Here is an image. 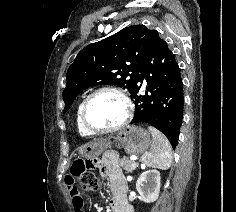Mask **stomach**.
Listing matches in <instances>:
<instances>
[{
	"instance_id": "0dacf381",
	"label": "stomach",
	"mask_w": 236,
	"mask_h": 212,
	"mask_svg": "<svg viewBox=\"0 0 236 212\" xmlns=\"http://www.w3.org/2000/svg\"><path fill=\"white\" fill-rule=\"evenodd\" d=\"M114 139L118 147L137 155L147 152L152 142L149 133L138 126H127ZM111 144L110 139L92 141L79 148V155L85 159H95L111 147Z\"/></svg>"
}]
</instances>
